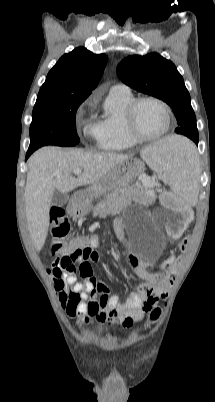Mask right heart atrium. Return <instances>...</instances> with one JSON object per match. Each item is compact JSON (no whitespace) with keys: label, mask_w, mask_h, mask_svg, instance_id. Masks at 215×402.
Masks as SVG:
<instances>
[{"label":"right heart atrium","mask_w":215,"mask_h":402,"mask_svg":"<svg viewBox=\"0 0 215 402\" xmlns=\"http://www.w3.org/2000/svg\"><path fill=\"white\" fill-rule=\"evenodd\" d=\"M90 102L86 104V106H90ZM83 110H80V116L82 115ZM80 129L82 134L87 138V139H96L97 138V132H98V126L97 123L89 122L86 120H81L80 121Z\"/></svg>","instance_id":"right-heart-atrium-1"}]
</instances>
